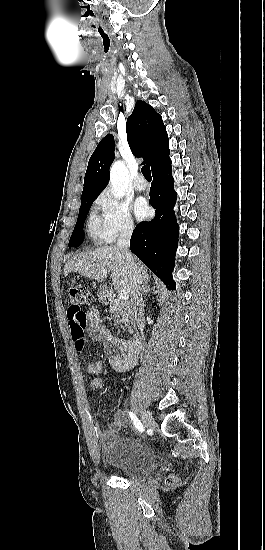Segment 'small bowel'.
<instances>
[{"instance_id": "1", "label": "small bowel", "mask_w": 265, "mask_h": 550, "mask_svg": "<svg viewBox=\"0 0 265 550\" xmlns=\"http://www.w3.org/2000/svg\"><path fill=\"white\" fill-rule=\"evenodd\" d=\"M85 314L86 322L83 327L82 336L75 339L76 350H82L84 331L86 330L96 341L112 345V350L109 353V362L114 369L121 372L132 369L138 361V351L132 349L127 340L114 338L111 335L109 330L100 321L98 308L92 307ZM85 370L91 375H99L103 371V363L100 360L88 362L85 365ZM89 386L92 391H95L103 387V382L99 377H94L90 380ZM113 419L120 425H125L127 422L126 416L121 410H116L113 413ZM98 436L103 446H108L113 438L112 433L100 429H98Z\"/></svg>"}]
</instances>
